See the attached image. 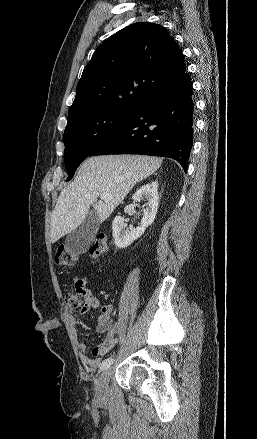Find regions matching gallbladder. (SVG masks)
<instances>
[{
  "label": "gallbladder",
  "mask_w": 257,
  "mask_h": 439,
  "mask_svg": "<svg viewBox=\"0 0 257 439\" xmlns=\"http://www.w3.org/2000/svg\"><path fill=\"white\" fill-rule=\"evenodd\" d=\"M98 228L99 217L95 211H90L85 220L66 237V247L77 254L87 252Z\"/></svg>",
  "instance_id": "obj_1"
}]
</instances>
